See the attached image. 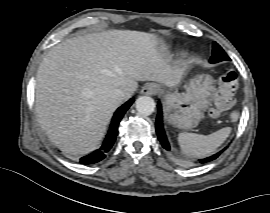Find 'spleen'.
<instances>
[{"label":"spleen","mask_w":270,"mask_h":213,"mask_svg":"<svg viewBox=\"0 0 270 213\" xmlns=\"http://www.w3.org/2000/svg\"><path fill=\"white\" fill-rule=\"evenodd\" d=\"M231 127H225L209 135L182 132L178 142L182 152L188 157L203 158L212 154L229 136Z\"/></svg>","instance_id":"spleen-1"}]
</instances>
